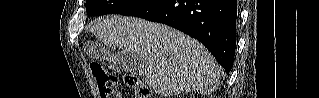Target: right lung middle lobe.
Wrapping results in <instances>:
<instances>
[{
	"mask_svg": "<svg viewBox=\"0 0 319 98\" xmlns=\"http://www.w3.org/2000/svg\"><path fill=\"white\" fill-rule=\"evenodd\" d=\"M146 0H87L86 11L89 16L123 14Z\"/></svg>",
	"mask_w": 319,
	"mask_h": 98,
	"instance_id": "1",
	"label": "right lung middle lobe"
}]
</instances>
